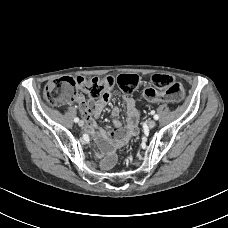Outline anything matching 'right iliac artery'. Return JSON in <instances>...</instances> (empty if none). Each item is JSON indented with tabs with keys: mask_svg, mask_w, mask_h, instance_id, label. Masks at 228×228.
<instances>
[{
	"mask_svg": "<svg viewBox=\"0 0 228 228\" xmlns=\"http://www.w3.org/2000/svg\"><path fill=\"white\" fill-rule=\"evenodd\" d=\"M74 122H76V123L79 122V118L78 117H75L74 118Z\"/></svg>",
	"mask_w": 228,
	"mask_h": 228,
	"instance_id": "right-iliac-artery-1",
	"label": "right iliac artery"
}]
</instances>
